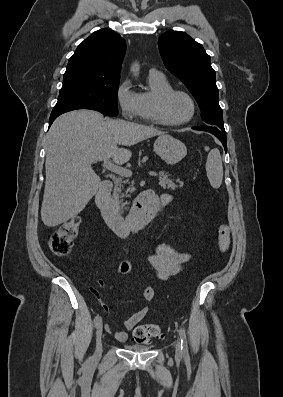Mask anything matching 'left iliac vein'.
I'll return each instance as SVG.
<instances>
[{
    "label": "left iliac vein",
    "instance_id": "obj_1",
    "mask_svg": "<svg viewBox=\"0 0 283 397\" xmlns=\"http://www.w3.org/2000/svg\"><path fill=\"white\" fill-rule=\"evenodd\" d=\"M176 357H178V358L181 357V350H180V345L178 342L176 344Z\"/></svg>",
    "mask_w": 283,
    "mask_h": 397
}]
</instances>
